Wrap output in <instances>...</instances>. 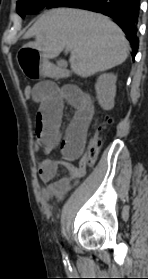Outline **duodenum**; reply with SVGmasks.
Wrapping results in <instances>:
<instances>
[{"mask_svg": "<svg viewBox=\"0 0 148 279\" xmlns=\"http://www.w3.org/2000/svg\"><path fill=\"white\" fill-rule=\"evenodd\" d=\"M59 74L61 75V76H67L68 75V71H66V70H61L60 72H59Z\"/></svg>", "mask_w": 148, "mask_h": 279, "instance_id": "410a0bca", "label": "duodenum"}]
</instances>
